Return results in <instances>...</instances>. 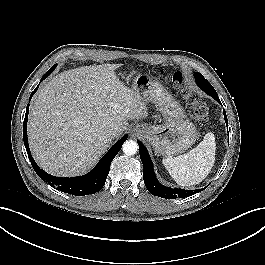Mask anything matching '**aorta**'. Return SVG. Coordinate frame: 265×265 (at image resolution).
<instances>
[{
    "mask_svg": "<svg viewBox=\"0 0 265 265\" xmlns=\"http://www.w3.org/2000/svg\"><path fill=\"white\" fill-rule=\"evenodd\" d=\"M138 144L134 140H127L123 146L122 150L126 155H134L137 152Z\"/></svg>",
    "mask_w": 265,
    "mask_h": 265,
    "instance_id": "obj_1",
    "label": "aorta"
}]
</instances>
